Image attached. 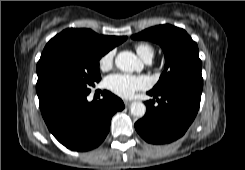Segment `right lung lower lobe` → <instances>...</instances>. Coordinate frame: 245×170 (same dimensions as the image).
Wrapping results in <instances>:
<instances>
[{"label": "right lung lower lobe", "mask_w": 245, "mask_h": 170, "mask_svg": "<svg viewBox=\"0 0 245 170\" xmlns=\"http://www.w3.org/2000/svg\"><path fill=\"white\" fill-rule=\"evenodd\" d=\"M87 94L63 95L40 105L49 131L65 147L88 151L107 136L112 116L124 109L120 98L104 90L99 101H87Z\"/></svg>", "instance_id": "1"}]
</instances>
